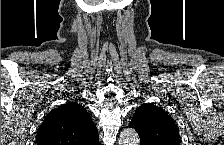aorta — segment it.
Returning <instances> with one entry per match:
<instances>
[{
	"label": "aorta",
	"mask_w": 224,
	"mask_h": 145,
	"mask_svg": "<svg viewBox=\"0 0 224 145\" xmlns=\"http://www.w3.org/2000/svg\"><path fill=\"white\" fill-rule=\"evenodd\" d=\"M140 139L134 129H124L119 137V145H139Z\"/></svg>",
	"instance_id": "762f6f07"
}]
</instances>
